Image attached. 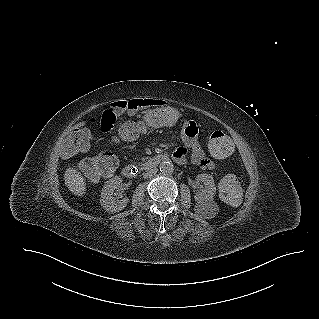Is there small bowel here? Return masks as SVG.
I'll list each match as a JSON object with an SVG mask.
<instances>
[{
	"label": "small bowel",
	"mask_w": 319,
	"mask_h": 319,
	"mask_svg": "<svg viewBox=\"0 0 319 319\" xmlns=\"http://www.w3.org/2000/svg\"><path fill=\"white\" fill-rule=\"evenodd\" d=\"M162 105H164V102L157 99H112L111 102L99 106L96 112L84 121V126L92 133L108 135L115 130L116 121L124 120L127 114L143 108ZM78 127H83V124H79ZM178 129L183 130V146L174 151L173 158L178 163H185L190 153V160L193 164L214 169L215 164L205 157L197 138L200 125L196 121H185V118L181 117L178 122Z\"/></svg>",
	"instance_id": "small-bowel-1"
}]
</instances>
